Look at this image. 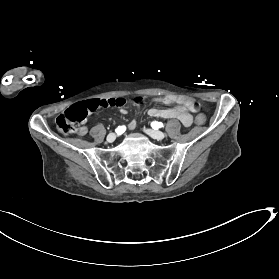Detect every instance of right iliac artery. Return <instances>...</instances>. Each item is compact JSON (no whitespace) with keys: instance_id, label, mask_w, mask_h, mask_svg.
<instances>
[{"instance_id":"right-iliac-artery-1","label":"right iliac artery","mask_w":279,"mask_h":279,"mask_svg":"<svg viewBox=\"0 0 279 279\" xmlns=\"http://www.w3.org/2000/svg\"><path fill=\"white\" fill-rule=\"evenodd\" d=\"M126 130V127L125 126H119L116 128L115 132L118 134V135H121L125 132Z\"/></svg>"}]
</instances>
